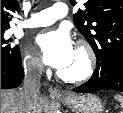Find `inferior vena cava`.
Wrapping results in <instances>:
<instances>
[{
	"label": "inferior vena cava",
	"instance_id": "obj_1",
	"mask_svg": "<svg viewBox=\"0 0 123 113\" xmlns=\"http://www.w3.org/2000/svg\"><path fill=\"white\" fill-rule=\"evenodd\" d=\"M41 74L42 65L39 63L35 62L25 67L24 83L20 90L28 107H31L40 96Z\"/></svg>",
	"mask_w": 123,
	"mask_h": 113
}]
</instances>
